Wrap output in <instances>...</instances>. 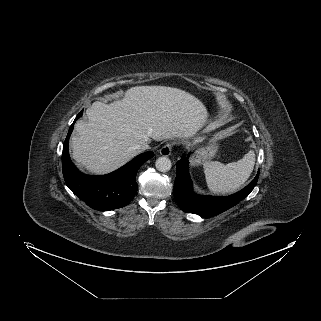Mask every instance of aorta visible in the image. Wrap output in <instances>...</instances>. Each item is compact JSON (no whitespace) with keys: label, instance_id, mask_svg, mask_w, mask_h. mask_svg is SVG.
Returning a JSON list of instances; mask_svg holds the SVG:
<instances>
[{"label":"aorta","instance_id":"762f6f07","mask_svg":"<svg viewBox=\"0 0 321 321\" xmlns=\"http://www.w3.org/2000/svg\"><path fill=\"white\" fill-rule=\"evenodd\" d=\"M156 169L160 172H167L171 169V160L167 157H159L155 162Z\"/></svg>","mask_w":321,"mask_h":321}]
</instances>
